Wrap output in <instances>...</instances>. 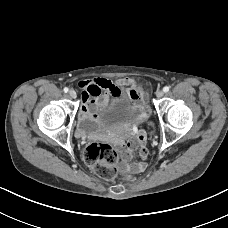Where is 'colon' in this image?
Segmentation results:
<instances>
[{"instance_id": "1", "label": "colon", "mask_w": 228, "mask_h": 228, "mask_svg": "<svg viewBox=\"0 0 228 228\" xmlns=\"http://www.w3.org/2000/svg\"><path fill=\"white\" fill-rule=\"evenodd\" d=\"M86 164L98 176L112 179L117 174L119 160L118 150L107 143L95 142L90 144L84 153ZM128 179L131 176H127Z\"/></svg>"}]
</instances>
